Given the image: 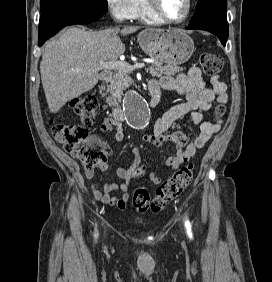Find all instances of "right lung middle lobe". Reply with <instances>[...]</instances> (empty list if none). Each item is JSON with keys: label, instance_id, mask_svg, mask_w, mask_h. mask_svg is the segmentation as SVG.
<instances>
[{"label": "right lung middle lobe", "instance_id": "dd1d6c3e", "mask_svg": "<svg viewBox=\"0 0 272 282\" xmlns=\"http://www.w3.org/2000/svg\"><path fill=\"white\" fill-rule=\"evenodd\" d=\"M74 4L96 5L105 8L108 7L107 0H41L40 1L41 12H44L50 8L57 6L74 5Z\"/></svg>", "mask_w": 272, "mask_h": 282}]
</instances>
